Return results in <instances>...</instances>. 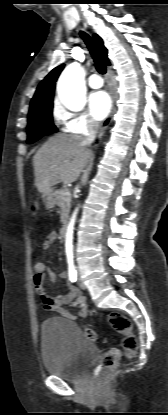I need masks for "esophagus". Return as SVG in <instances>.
Wrapping results in <instances>:
<instances>
[{"mask_svg": "<svg viewBox=\"0 0 168 415\" xmlns=\"http://www.w3.org/2000/svg\"><path fill=\"white\" fill-rule=\"evenodd\" d=\"M111 99H112V109H111V112H110L109 116L105 119V121L103 122V124L101 126L99 137L103 136V134L105 133L107 127L109 126V124L112 120V116H113L114 111H115L114 103H115V100H116V94H115V91H114L113 88L111 89Z\"/></svg>", "mask_w": 168, "mask_h": 415, "instance_id": "34e87169", "label": "esophagus"}]
</instances>
